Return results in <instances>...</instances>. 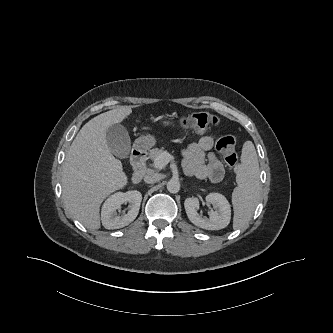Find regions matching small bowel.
I'll use <instances>...</instances> for the list:
<instances>
[{"mask_svg":"<svg viewBox=\"0 0 333 333\" xmlns=\"http://www.w3.org/2000/svg\"><path fill=\"white\" fill-rule=\"evenodd\" d=\"M214 142L215 136L208 134L184 148L183 167L188 174L214 183L222 180L224 168L216 155L209 152ZM207 152L209 153L206 155Z\"/></svg>","mask_w":333,"mask_h":333,"instance_id":"small-bowel-1","label":"small bowel"}]
</instances>
